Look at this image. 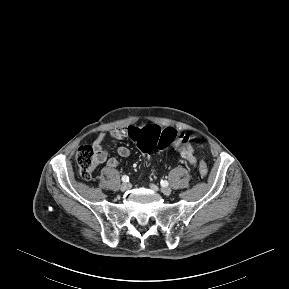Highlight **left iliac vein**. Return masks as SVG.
Returning <instances> with one entry per match:
<instances>
[{"label":"left iliac vein","instance_id":"1","mask_svg":"<svg viewBox=\"0 0 289 289\" xmlns=\"http://www.w3.org/2000/svg\"><path fill=\"white\" fill-rule=\"evenodd\" d=\"M150 188L154 191H157V189H158L157 186H155L154 184H150ZM161 192L165 195H170L172 190L170 187H163V188H161Z\"/></svg>","mask_w":289,"mask_h":289}]
</instances>
